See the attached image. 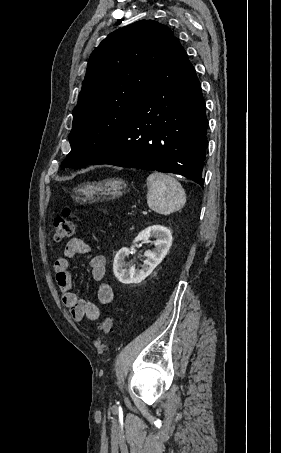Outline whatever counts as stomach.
Returning <instances> with one entry per match:
<instances>
[{"label": "stomach", "mask_w": 281, "mask_h": 453, "mask_svg": "<svg viewBox=\"0 0 281 453\" xmlns=\"http://www.w3.org/2000/svg\"><path fill=\"white\" fill-rule=\"evenodd\" d=\"M126 188L125 180L122 178H107L100 182H84L74 188L72 198L81 200V202H92V200H100V198H118Z\"/></svg>", "instance_id": "obj_1"}]
</instances>
